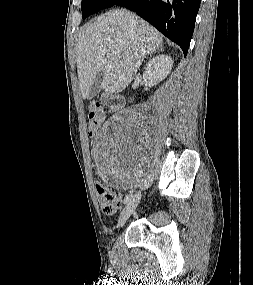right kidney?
<instances>
[{
    "mask_svg": "<svg viewBox=\"0 0 253 285\" xmlns=\"http://www.w3.org/2000/svg\"><path fill=\"white\" fill-rule=\"evenodd\" d=\"M173 60L169 55L160 54L153 57L145 66L143 79L149 87L164 80L172 70Z\"/></svg>",
    "mask_w": 253,
    "mask_h": 285,
    "instance_id": "obj_1",
    "label": "right kidney"
}]
</instances>
